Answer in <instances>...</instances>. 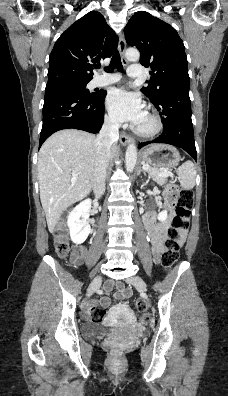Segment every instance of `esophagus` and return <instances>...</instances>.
I'll use <instances>...</instances> for the list:
<instances>
[{
  "label": "esophagus",
  "instance_id": "34e87169",
  "mask_svg": "<svg viewBox=\"0 0 228 396\" xmlns=\"http://www.w3.org/2000/svg\"><path fill=\"white\" fill-rule=\"evenodd\" d=\"M118 49H119V52H120V55H121V58H122V62H123L124 65H126L127 64V60H126V58L124 56L125 49H126V41H125V38H124L123 34L120 35ZM120 142H121L122 145H127L128 143L133 142V139L130 136L126 135L125 133H122L120 135Z\"/></svg>",
  "mask_w": 228,
  "mask_h": 396
}]
</instances>
